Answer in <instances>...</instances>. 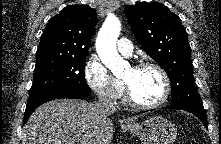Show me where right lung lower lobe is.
Here are the masks:
<instances>
[{
    "instance_id": "right-lung-lower-lobe-1",
    "label": "right lung lower lobe",
    "mask_w": 221,
    "mask_h": 144,
    "mask_svg": "<svg viewBox=\"0 0 221 144\" xmlns=\"http://www.w3.org/2000/svg\"><path fill=\"white\" fill-rule=\"evenodd\" d=\"M90 94L89 90H80V89H73V88H66V89H58L55 91H52L41 98H39L37 101L30 105H26V110L24 113V121L23 124H25L29 118V116L32 114V112L40 105L49 102L51 100L60 99V98H72V99H81Z\"/></svg>"
}]
</instances>
